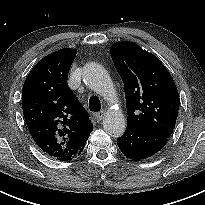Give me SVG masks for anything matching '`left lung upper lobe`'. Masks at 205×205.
Listing matches in <instances>:
<instances>
[{"label":"left lung upper lobe","instance_id":"obj_1","mask_svg":"<svg viewBox=\"0 0 205 205\" xmlns=\"http://www.w3.org/2000/svg\"><path fill=\"white\" fill-rule=\"evenodd\" d=\"M110 52L124 82L127 125L170 137L180 103L170 73L159 59L133 42L115 43Z\"/></svg>","mask_w":205,"mask_h":205}]
</instances>
